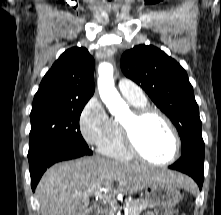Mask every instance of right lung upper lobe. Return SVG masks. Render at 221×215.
I'll list each match as a JSON object with an SVG mask.
<instances>
[{
    "label": "right lung upper lobe",
    "instance_id": "1",
    "mask_svg": "<svg viewBox=\"0 0 221 215\" xmlns=\"http://www.w3.org/2000/svg\"><path fill=\"white\" fill-rule=\"evenodd\" d=\"M94 59L86 48L66 50L43 77L33 105L41 102H87L94 94Z\"/></svg>",
    "mask_w": 221,
    "mask_h": 215
}]
</instances>
